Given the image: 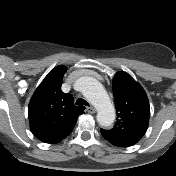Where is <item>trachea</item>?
I'll use <instances>...</instances> for the list:
<instances>
[{
    "label": "trachea",
    "instance_id": "obj_1",
    "mask_svg": "<svg viewBox=\"0 0 176 176\" xmlns=\"http://www.w3.org/2000/svg\"><path fill=\"white\" fill-rule=\"evenodd\" d=\"M76 105L90 106L89 103L86 100L81 99V98L76 101Z\"/></svg>",
    "mask_w": 176,
    "mask_h": 176
}]
</instances>
